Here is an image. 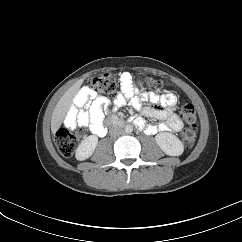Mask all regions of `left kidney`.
I'll return each instance as SVG.
<instances>
[{
	"label": "left kidney",
	"instance_id": "left-kidney-1",
	"mask_svg": "<svg viewBox=\"0 0 242 242\" xmlns=\"http://www.w3.org/2000/svg\"><path fill=\"white\" fill-rule=\"evenodd\" d=\"M155 140L163 152L169 156H180L184 151L182 142L172 133H159Z\"/></svg>",
	"mask_w": 242,
	"mask_h": 242
}]
</instances>
